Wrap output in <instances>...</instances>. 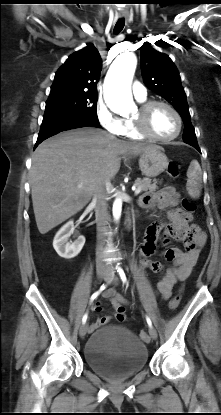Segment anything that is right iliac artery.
Here are the masks:
<instances>
[{
	"label": "right iliac artery",
	"mask_w": 221,
	"mask_h": 415,
	"mask_svg": "<svg viewBox=\"0 0 221 415\" xmlns=\"http://www.w3.org/2000/svg\"><path fill=\"white\" fill-rule=\"evenodd\" d=\"M106 288V285L105 284H103L101 287H100V289L97 291V292H95V293H93L92 294V296H91V298H90V301L92 302L95 298H97V296L104 290ZM87 313L83 316V318H82V323L84 324L85 322H86V320H87Z\"/></svg>",
	"instance_id": "82829eb1"
}]
</instances>
